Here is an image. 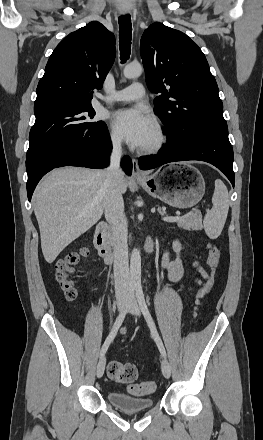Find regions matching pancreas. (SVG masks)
Segmentation results:
<instances>
[{"label":"pancreas","mask_w":263,"mask_h":440,"mask_svg":"<svg viewBox=\"0 0 263 440\" xmlns=\"http://www.w3.org/2000/svg\"><path fill=\"white\" fill-rule=\"evenodd\" d=\"M158 211L164 215L165 211L161 208H158ZM178 227H181L185 230H195L200 231L202 229V214L200 211H195L187 214L182 220L178 222Z\"/></svg>","instance_id":"pancreas-1"}]
</instances>
